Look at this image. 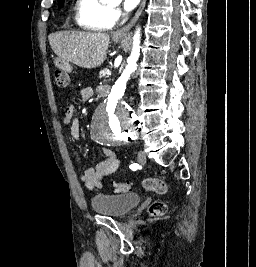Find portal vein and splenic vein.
Instances as JSON below:
<instances>
[{
  "label": "portal vein and splenic vein",
  "mask_w": 256,
  "mask_h": 267,
  "mask_svg": "<svg viewBox=\"0 0 256 267\" xmlns=\"http://www.w3.org/2000/svg\"><path fill=\"white\" fill-rule=\"evenodd\" d=\"M105 73H106V75H109V73H110L109 68H106Z\"/></svg>",
  "instance_id": "obj_1"
}]
</instances>
